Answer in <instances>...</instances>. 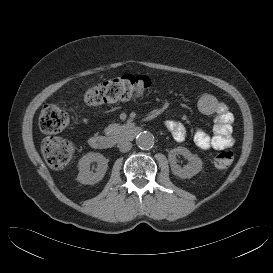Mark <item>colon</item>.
<instances>
[{
	"label": "colon",
	"instance_id": "1",
	"mask_svg": "<svg viewBox=\"0 0 273 273\" xmlns=\"http://www.w3.org/2000/svg\"><path fill=\"white\" fill-rule=\"evenodd\" d=\"M154 83L146 76L125 75L106 79L89 87L84 94V102L91 106L125 101L140 95L151 88ZM69 123L67 112L59 105L44 106L40 113L39 125L43 132L55 134L63 131ZM42 151L46 162L51 168L59 169L66 166L74 157L75 146L70 140L60 137L45 139ZM234 154L230 150L219 152L214 165L226 169L232 165Z\"/></svg>",
	"mask_w": 273,
	"mask_h": 273
}]
</instances>
